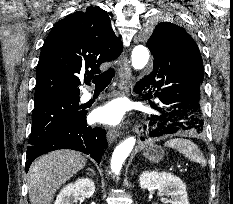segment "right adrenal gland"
<instances>
[{
	"mask_svg": "<svg viewBox=\"0 0 233 204\" xmlns=\"http://www.w3.org/2000/svg\"><path fill=\"white\" fill-rule=\"evenodd\" d=\"M88 170H89V171H91V172L95 175V172H94V170H93V169L88 168Z\"/></svg>",
	"mask_w": 233,
	"mask_h": 204,
	"instance_id": "obj_1",
	"label": "right adrenal gland"
}]
</instances>
